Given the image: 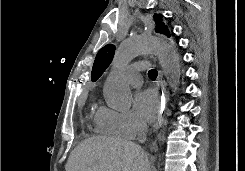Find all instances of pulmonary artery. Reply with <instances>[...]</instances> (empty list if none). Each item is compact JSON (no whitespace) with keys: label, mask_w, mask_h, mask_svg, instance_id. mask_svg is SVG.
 Masks as SVG:
<instances>
[{"label":"pulmonary artery","mask_w":245,"mask_h":171,"mask_svg":"<svg viewBox=\"0 0 245 171\" xmlns=\"http://www.w3.org/2000/svg\"><path fill=\"white\" fill-rule=\"evenodd\" d=\"M144 65L134 63L129 65L123 70V77L125 80L133 86H139L141 84V74Z\"/></svg>","instance_id":"pulmonary-artery-1"}]
</instances>
